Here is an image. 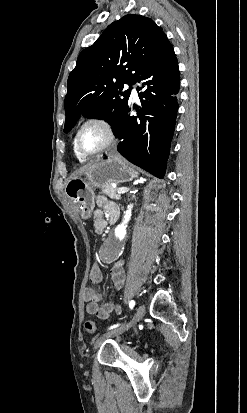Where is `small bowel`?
I'll use <instances>...</instances> for the list:
<instances>
[{"label": "small bowel", "mask_w": 247, "mask_h": 413, "mask_svg": "<svg viewBox=\"0 0 247 413\" xmlns=\"http://www.w3.org/2000/svg\"><path fill=\"white\" fill-rule=\"evenodd\" d=\"M97 209L93 213V226L98 232H101L107 223H114L120 216L119 206L109 200L105 195H98L96 198ZM111 278L113 291L111 296L114 298L123 288L125 282L124 261L119 260L111 269ZM100 283V282H98ZM84 299L87 302L86 310L89 314L97 316L101 320H107L115 312L121 314V308L114 300H110L102 305V294L96 289H85Z\"/></svg>", "instance_id": "c3829d8e"}]
</instances>
